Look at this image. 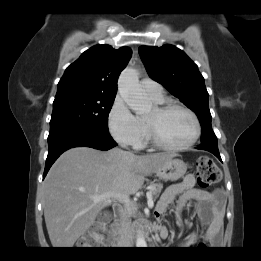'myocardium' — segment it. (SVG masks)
<instances>
[{
	"label": "myocardium",
	"instance_id": "myocardium-1",
	"mask_svg": "<svg viewBox=\"0 0 261 261\" xmlns=\"http://www.w3.org/2000/svg\"><path fill=\"white\" fill-rule=\"evenodd\" d=\"M155 109L157 110V112L159 114H164L172 109H180V110L186 112L193 120L194 134L188 142H186L182 145H170V144L163 142L159 138L155 127L149 121L145 120L147 136H148L149 142L153 146H155L156 148H159L161 150H165V151H183V150L190 148L197 142V140L199 139L200 134H201V124H200L198 116L192 109L188 108L187 106H185L181 103L174 102V101H167V102L160 103L155 107Z\"/></svg>",
	"mask_w": 261,
	"mask_h": 261
}]
</instances>
